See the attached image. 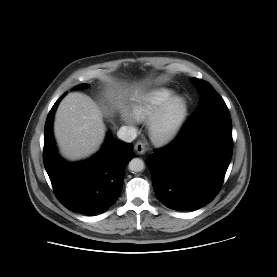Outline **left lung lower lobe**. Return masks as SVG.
<instances>
[{
  "instance_id": "obj_1",
  "label": "left lung lower lobe",
  "mask_w": 277,
  "mask_h": 277,
  "mask_svg": "<svg viewBox=\"0 0 277 277\" xmlns=\"http://www.w3.org/2000/svg\"><path fill=\"white\" fill-rule=\"evenodd\" d=\"M232 151L227 106L191 117L172 144L147 159L158 200L177 211L207 205L221 188Z\"/></svg>"
}]
</instances>
